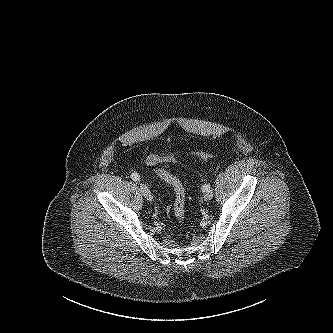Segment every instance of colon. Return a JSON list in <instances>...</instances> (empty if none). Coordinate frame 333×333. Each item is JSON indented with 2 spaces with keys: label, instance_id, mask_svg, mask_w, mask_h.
I'll return each instance as SVG.
<instances>
[{
  "label": "colon",
  "instance_id": "5ec220e1",
  "mask_svg": "<svg viewBox=\"0 0 333 333\" xmlns=\"http://www.w3.org/2000/svg\"><path fill=\"white\" fill-rule=\"evenodd\" d=\"M194 154L205 160L214 157L212 154L203 152ZM155 173L159 178L173 187L175 193L174 213L178 221H183L185 217V190L181 181L165 169H156Z\"/></svg>",
  "mask_w": 333,
  "mask_h": 333
}]
</instances>
